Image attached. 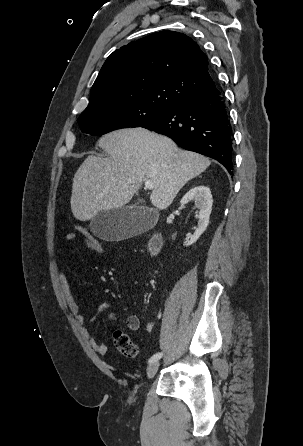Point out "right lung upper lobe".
Wrapping results in <instances>:
<instances>
[{"instance_id": "right-lung-upper-lobe-1", "label": "right lung upper lobe", "mask_w": 303, "mask_h": 446, "mask_svg": "<svg viewBox=\"0 0 303 446\" xmlns=\"http://www.w3.org/2000/svg\"><path fill=\"white\" fill-rule=\"evenodd\" d=\"M215 87L208 58L187 35L161 31L115 50L102 66L85 109L144 102L173 107Z\"/></svg>"}]
</instances>
